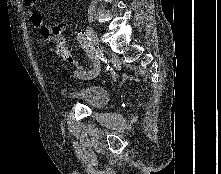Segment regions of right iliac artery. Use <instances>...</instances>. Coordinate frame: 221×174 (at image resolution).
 Segmentation results:
<instances>
[{
  "label": "right iliac artery",
  "instance_id": "1",
  "mask_svg": "<svg viewBox=\"0 0 221 174\" xmlns=\"http://www.w3.org/2000/svg\"><path fill=\"white\" fill-rule=\"evenodd\" d=\"M77 39L81 45V47L86 51L89 58L92 61V68L89 70H78L76 71V77L81 80H92L98 77L101 67L100 62L96 55L91 52V40L83 33H78Z\"/></svg>",
  "mask_w": 221,
  "mask_h": 174
}]
</instances>
